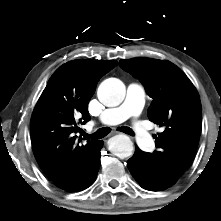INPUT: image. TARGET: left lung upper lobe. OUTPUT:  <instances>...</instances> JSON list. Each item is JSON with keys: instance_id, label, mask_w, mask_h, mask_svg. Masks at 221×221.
<instances>
[{"instance_id": "1", "label": "left lung upper lobe", "mask_w": 221, "mask_h": 221, "mask_svg": "<svg viewBox=\"0 0 221 221\" xmlns=\"http://www.w3.org/2000/svg\"><path fill=\"white\" fill-rule=\"evenodd\" d=\"M126 72L139 79L153 99L149 119L164 131L154 136L150 153L163 180L172 186L192 162L201 133V102L194 85L176 65L149 58L120 60Z\"/></svg>"}]
</instances>
